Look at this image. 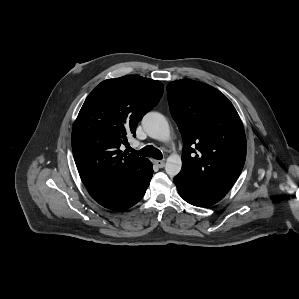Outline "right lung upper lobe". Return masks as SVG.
<instances>
[{
	"mask_svg": "<svg viewBox=\"0 0 299 299\" xmlns=\"http://www.w3.org/2000/svg\"><path fill=\"white\" fill-rule=\"evenodd\" d=\"M163 94L160 81L124 76L101 82L86 98L72 130V150L87 188L108 187L143 176L149 160L120 150Z\"/></svg>",
	"mask_w": 299,
	"mask_h": 299,
	"instance_id": "1",
	"label": "right lung upper lobe"
}]
</instances>
